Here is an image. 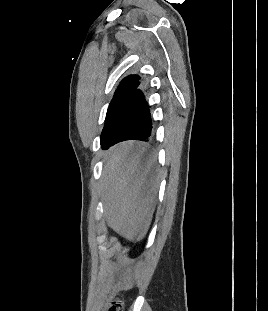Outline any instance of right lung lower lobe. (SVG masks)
<instances>
[{
    "mask_svg": "<svg viewBox=\"0 0 268 311\" xmlns=\"http://www.w3.org/2000/svg\"><path fill=\"white\" fill-rule=\"evenodd\" d=\"M153 132L150 107L143 92L136 86L117 121L101 139L103 149L125 140L148 141Z\"/></svg>",
    "mask_w": 268,
    "mask_h": 311,
    "instance_id": "right-lung-lower-lobe-1",
    "label": "right lung lower lobe"
}]
</instances>
